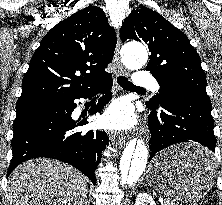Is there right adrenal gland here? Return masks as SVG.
I'll use <instances>...</instances> for the list:
<instances>
[{
  "mask_svg": "<svg viewBox=\"0 0 222 205\" xmlns=\"http://www.w3.org/2000/svg\"><path fill=\"white\" fill-rule=\"evenodd\" d=\"M86 198H87V196L84 199L83 205H87V199Z\"/></svg>",
  "mask_w": 222,
  "mask_h": 205,
  "instance_id": "right-adrenal-gland-1",
  "label": "right adrenal gland"
}]
</instances>
